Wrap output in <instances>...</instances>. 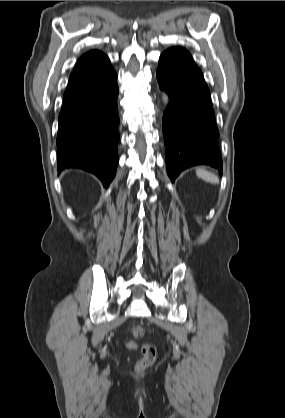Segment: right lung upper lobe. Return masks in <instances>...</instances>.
<instances>
[{
    "mask_svg": "<svg viewBox=\"0 0 285 418\" xmlns=\"http://www.w3.org/2000/svg\"><path fill=\"white\" fill-rule=\"evenodd\" d=\"M109 58L102 52L91 50L76 63L64 93L68 96L105 76L112 70Z\"/></svg>",
    "mask_w": 285,
    "mask_h": 418,
    "instance_id": "right-lung-upper-lobe-1",
    "label": "right lung upper lobe"
}]
</instances>
